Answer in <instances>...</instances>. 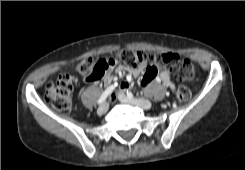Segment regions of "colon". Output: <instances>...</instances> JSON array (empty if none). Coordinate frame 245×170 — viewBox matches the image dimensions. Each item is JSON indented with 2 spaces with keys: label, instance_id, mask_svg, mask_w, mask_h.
Returning a JSON list of instances; mask_svg holds the SVG:
<instances>
[{
  "label": "colon",
  "instance_id": "colon-1",
  "mask_svg": "<svg viewBox=\"0 0 245 170\" xmlns=\"http://www.w3.org/2000/svg\"><path fill=\"white\" fill-rule=\"evenodd\" d=\"M122 64L126 69L137 70L142 67H158L161 65L175 67L176 77L182 81L191 80L194 77V67L190 62H180L175 53L165 54L144 53L142 51L123 50L117 55L107 57L94 62L90 59L80 61L76 65L78 73L87 80H99L104 74ZM147 71L153 73L151 69ZM73 78L70 75H61L56 80L47 83L45 90V100L52 107L61 113H69L72 110L71 93L73 89ZM191 97L190 90L182 86L178 90V98L187 101Z\"/></svg>",
  "mask_w": 245,
  "mask_h": 170
}]
</instances>
